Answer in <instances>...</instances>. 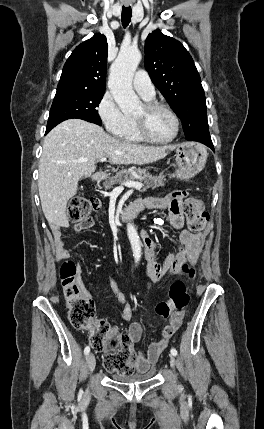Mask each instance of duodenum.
I'll use <instances>...</instances> for the list:
<instances>
[{
    "mask_svg": "<svg viewBox=\"0 0 264 429\" xmlns=\"http://www.w3.org/2000/svg\"><path fill=\"white\" fill-rule=\"evenodd\" d=\"M91 178L93 181H100L103 176L101 173H94ZM144 209L145 207L142 204H133L128 209H126L120 217L123 220H127L138 216Z\"/></svg>",
    "mask_w": 264,
    "mask_h": 429,
    "instance_id": "duodenum-1",
    "label": "duodenum"
}]
</instances>
